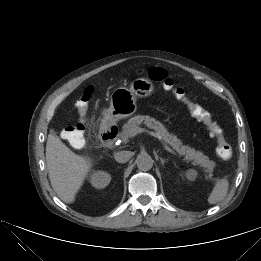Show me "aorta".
Here are the masks:
<instances>
[{
    "instance_id": "762f6f07",
    "label": "aorta",
    "mask_w": 261,
    "mask_h": 261,
    "mask_svg": "<svg viewBox=\"0 0 261 261\" xmlns=\"http://www.w3.org/2000/svg\"><path fill=\"white\" fill-rule=\"evenodd\" d=\"M154 160L149 154H139L136 158V164L139 170L148 171L152 168Z\"/></svg>"
}]
</instances>
